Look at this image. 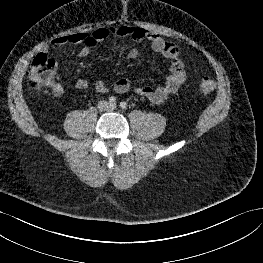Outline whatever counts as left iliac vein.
Returning a JSON list of instances; mask_svg holds the SVG:
<instances>
[{
  "mask_svg": "<svg viewBox=\"0 0 263 263\" xmlns=\"http://www.w3.org/2000/svg\"><path fill=\"white\" fill-rule=\"evenodd\" d=\"M116 108V104L110 105V109L114 110Z\"/></svg>",
  "mask_w": 263,
  "mask_h": 263,
  "instance_id": "obj_1",
  "label": "left iliac vein"
}]
</instances>
